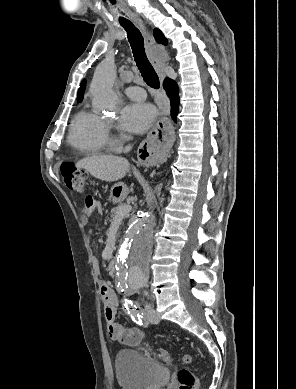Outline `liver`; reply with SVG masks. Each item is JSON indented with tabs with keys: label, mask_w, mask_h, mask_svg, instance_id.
<instances>
[{
	"label": "liver",
	"mask_w": 296,
	"mask_h": 389,
	"mask_svg": "<svg viewBox=\"0 0 296 389\" xmlns=\"http://www.w3.org/2000/svg\"><path fill=\"white\" fill-rule=\"evenodd\" d=\"M76 166L88 171L92 176L106 182L118 181L129 172L130 164L123 157L94 155L79 160Z\"/></svg>",
	"instance_id": "obj_1"
}]
</instances>
